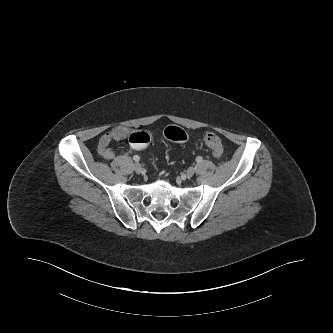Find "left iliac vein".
Returning <instances> with one entry per match:
<instances>
[{
	"label": "left iliac vein",
	"instance_id": "4c4485c4",
	"mask_svg": "<svg viewBox=\"0 0 333 333\" xmlns=\"http://www.w3.org/2000/svg\"><path fill=\"white\" fill-rule=\"evenodd\" d=\"M194 174H195V168L194 167H190V168L187 169L186 176L188 178H191Z\"/></svg>",
	"mask_w": 333,
	"mask_h": 333
}]
</instances>
